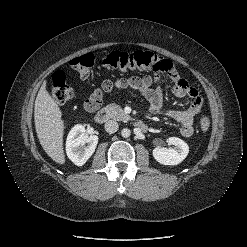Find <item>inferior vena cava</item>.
I'll return each instance as SVG.
<instances>
[{"label":"inferior vena cava","mask_w":247,"mask_h":247,"mask_svg":"<svg viewBox=\"0 0 247 247\" xmlns=\"http://www.w3.org/2000/svg\"><path fill=\"white\" fill-rule=\"evenodd\" d=\"M118 127H119L118 123L114 120H108L105 123V130L108 133H115L118 130Z\"/></svg>","instance_id":"obj_1"}]
</instances>
